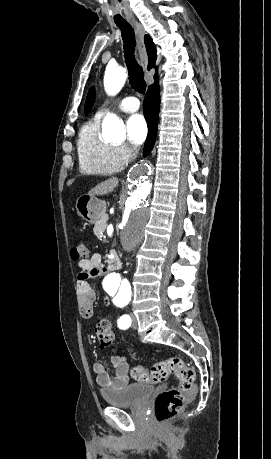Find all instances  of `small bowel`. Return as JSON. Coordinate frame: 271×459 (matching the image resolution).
<instances>
[{
    "instance_id": "1",
    "label": "small bowel",
    "mask_w": 271,
    "mask_h": 459,
    "mask_svg": "<svg viewBox=\"0 0 271 459\" xmlns=\"http://www.w3.org/2000/svg\"><path fill=\"white\" fill-rule=\"evenodd\" d=\"M80 273L77 277V290L80 312L83 318L89 319L93 315V304L96 299V292L91 287L89 280H94L102 276L106 269L102 265L101 256L94 253L89 258L80 259L77 262ZM106 306L109 301L105 300ZM111 365L115 375L110 376L109 372L102 363H95L93 370L96 374L97 383L102 388H122L129 383V365L126 359L119 354H112Z\"/></svg>"
}]
</instances>
